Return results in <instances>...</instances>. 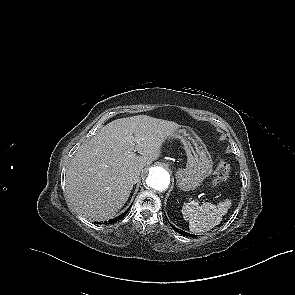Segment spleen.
Returning a JSON list of instances; mask_svg holds the SVG:
<instances>
[{
    "label": "spleen",
    "instance_id": "1",
    "mask_svg": "<svg viewBox=\"0 0 295 295\" xmlns=\"http://www.w3.org/2000/svg\"><path fill=\"white\" fill-rule=\"evenodd\" d=\"M232 201L226 199L216 206L206 202L198 205L195 202L184 203L182 206L183 218L189 222V229L193 233L206 232L218 225L222 221L230 208Z\"/></svg>",
    "mask_w": 295,
    "mask_h": 295
}]
</instances>
